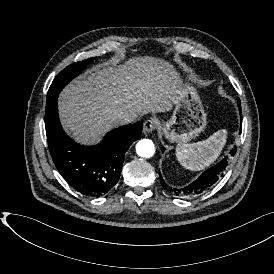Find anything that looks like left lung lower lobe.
Segmentation results:
<instances>
[{"label":"left lung lower lobe","mask_w":274,"mask_h":274,"mask_svg":"<svg viewBox=\"0 0 274 274\" xmlns=\"http://www.w3.org/2000/svg\"><path fill=\"white\" fill-rule=\"evenodd\" d=\"M238 106H239L240 115H241V107H240L239 99H238ZM241 129L242 128L240 127V132H241ZM161 150L164 152L165 148L162 146ZM236 151H237V147L235 146L234 149L231 150V152H230L231 156H234ZM228 163H229V158L225 157L217 165H215V166L211 167L210 169H208L207 171H205L193 183H191L187 187H184L181 189L167 187V185L164 183L162 175L159 171L160 182L164 189H168L171 192H174L175 195L196 196L199 194H203L212 188V186L219 180V178L223 176L224 171L226 170V168L228 166Z\"/></svg>","instance_id":"1"}]
</instances>
